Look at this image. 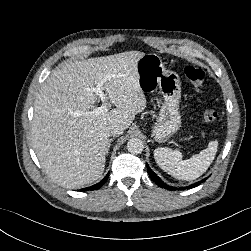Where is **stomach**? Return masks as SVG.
<instances>
[{
	"label": "stomach",
	"instance_id": "0dacf381",
	"mask_svg": "<svg viewBox=\"0 0 251 251\" xmlns=\"http://www.w3.org/2000/svg\"><path fill=\"white\" fill-rule=\"evenodd\" d=\"M137 74L139 87L143 93L159 90L163 96L164 101L152 127V135L155 140L163 141L176 133L181 126L179 75L166 70L161 57L154 53L145 54L138 60Z\"/></svg>",
	"mask_w": 251,
	"mask_h": 251
}]
</instances>
